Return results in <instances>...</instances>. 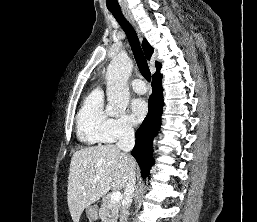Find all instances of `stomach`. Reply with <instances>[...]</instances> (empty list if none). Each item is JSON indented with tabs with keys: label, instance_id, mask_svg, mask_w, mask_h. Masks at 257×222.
<instances>
[{
	"label": "stomach",
	"instance_id": "1",
	"mask_svg": "<svg viewBox=\"0 0 257 222\" xmlns=\"http://www.w3.org/2000/svg\"><path fill=\"white\" fill-rule=\"evenodd\" d=\"M86 216L90 221H95L98 218V210L94 206H89L86 208Z\"/></svg>",
	"mask_w": 257,
	"mask_h": 222
}]
</instances>
